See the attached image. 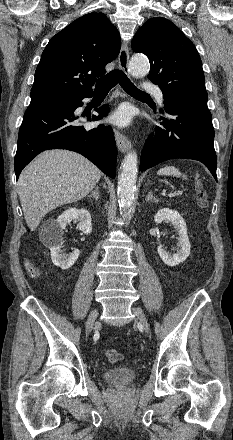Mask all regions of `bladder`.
I'll return each mask as SVG.
<instances>
[{
	"label": "bladder",
	"instance_id": "obj_1",
	"mask_svg": "<svg viewBox=\"0 0 233 440\" xmlns=\"http://www.w3.org/2000/svg\"><path fill=\"white\" fill-rule=\"evenodd\" d=\"M104 379L111 385L126 387L136 378V371L128 367L112 368L103 373Z\"/></svg>",
	"mask_w": 233,
	"mask_h": 440
}]
</instances>
